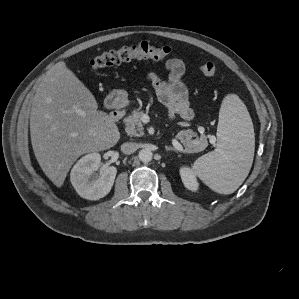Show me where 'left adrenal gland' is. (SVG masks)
I'll return each mask as SVG.
<instances>
[{"label":"left adrenal gland","instance_id":"1","mask_svg":"<svg viewBox=\"0 0 299 299\" xmlns=\"http://www.w3.org/2000/svg\"><path fill=\"white\" fill-rule=\"evenodd\" d=\"M165 149H166V152H168V151H175V152H177L176 149H174L173 147L165 146Z\"/></svg>","mask_w":299,"mask_h":299}]
</instances>
